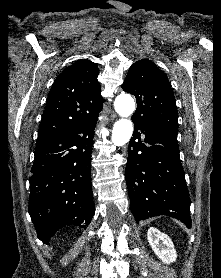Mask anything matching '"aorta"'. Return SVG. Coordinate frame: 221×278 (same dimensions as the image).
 Returning <instances> with one entry per match:
<instances>
[{
    "label": "aorta",
    "mask_w": 221,
    "mask_h": 278,
    "mask_svg": "<svg viewBox=\"0 0 221 278\" xmlns=\"http://www.w3.org/2000/svg\"><path fill=\"white\" fill-rule=\"evenodd\" d=\"M116 112L122 117L116 121L112 130V142L117 146L126 144L133 133V123L130 117L135 110V102L128 94L119 95L114 102Z\"/></svg>",
    "instance_id": "762f6f07"
}]
</instances>
